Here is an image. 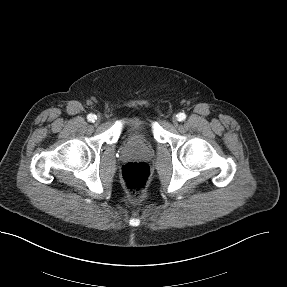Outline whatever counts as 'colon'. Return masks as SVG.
<instances>
[{
    "instance_id": "5ec220e1",
    "label": "colon",
    "mask_w": 287,
    "mask_h": 287,
    "mask_svg": "<svg viewBox=\"0 0 287 287\" xmlns=\"http://www.w3.org/2000/svg\"><path fill=\"white\" fill-rule=\"evenodd\" d=\"M151 172L144 162H128L121 169L122 183L133 200L142 197L149 184Z\"/></svg>"
}]
</instances>
